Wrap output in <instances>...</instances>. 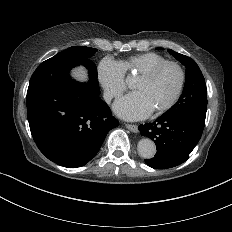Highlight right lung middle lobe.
Masks as SVG:
<instances>
[{"label": "right lung middle lobe", "mask_w": 232, "mask_h": 232, "mask_svg": "<svg viewBox=\"0 0 232 232\" xmlns=\"http://www.w3.org/2000/svg\"><path fill=\"white\" fill-rule=\"evenodd\" d=\"M97 51L95 48L84 47V46H73L70 47L53 58H72L76 60L90 58ZM88 69L97 77V68L95 64L88 65Z\"/></svg>", "instance_id": "obj_1"}]
</instances>
